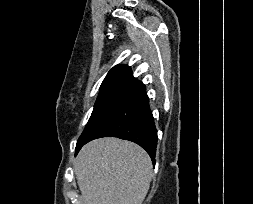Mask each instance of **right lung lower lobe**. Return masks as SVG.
I'll return each instance as SVG.
<instances>
[{
  "label": "right lung lower lobe",
  "instance_id": "right-lung-lower-lobe-1",
  "mask_svg": "<svg viewBox=\"0 0 253 204\" xmlns=\"http://www.w3.org/2000/svg\"><path fill=\"white\" fill-rule=\"evenodd\" d=\"M101 137H117L137 143L155 165L157 130L143 83L94 130L86 143Z\"/></svg>",
  "mask_w": 253,
  "mask_h": 204
}]
</instances>
